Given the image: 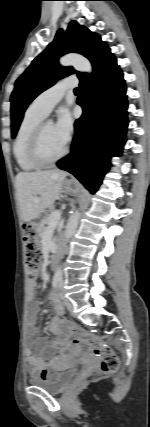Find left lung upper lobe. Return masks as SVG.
Here are the masks:
<instances>
[{
	"label": "left lung upper lobe",
	"mask_w": 150,
	"mask_h": 427,
	"mask_svg": "<svg viewBox=\"0 0 150 427\" xmlns=\"http://www.w3.org/2000/svg\"><path fill=\"white\" fill-rule=\"evenodd\" d=\"M110 49L100 36L86 27L71 21L66 31L59 29L55 39L40 53L17 79L11 95V134L14 138L23 118L24 111L41 92L53 86L60 78L76 73L79 79L88 74L75 71L72 67H61L60 56L75 52L87 57L95 68Z\"/></svg>",
	"instance_id": "5c2ea615"
}]
</instances>
